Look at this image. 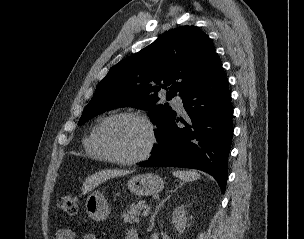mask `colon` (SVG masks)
Here are the masks:
<instances>
[{
  "label": "colon",
  "instance_id": "colon-1",
  "mask_svg": "<svg viewBox=\"0 0 304 239\" xmlns=\"http://www.w3.org/2000/svg\"><path fill=\"white\" fill-rule=\"evenodd\" d=\"M57 206L67 214H74L77 211V197L72 193L62 195L57 200Z\"/></svg>",
  "mask_w": 304,
  "mask_h": 239
}]
</instances>
